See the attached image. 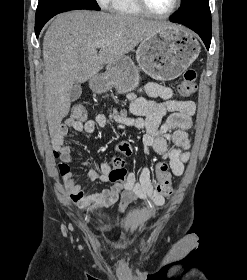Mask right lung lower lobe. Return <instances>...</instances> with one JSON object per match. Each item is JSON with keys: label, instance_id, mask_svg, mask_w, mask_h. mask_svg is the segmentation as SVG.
<instances>
[{"label": "right lung lower lobe", "instance_id": "1", "mask_svg": "<svg viewBox=\"0 0 247 280\" xmlns=\"http://www.w3.org/2000/svg\"><path fill=\"white\" fill-rule=\"evenodd\" d=\"M43 26H44V24H42V25H35V33H36L37 37L39 36V33H40V31H41Z\"/></svg>", "mask_w": 247, "mask_h": 280}]
</instances>
